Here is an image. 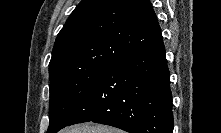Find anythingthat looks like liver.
Returning a JSON list of instances; mask_svg holds the SVG:
<instances>
[{"label": "liver", "mask_w": 221, "mask_h": 133, "mask_svg": "<svg viewBox=\"0 0 221 133\" xmlns=\"http://www.w3.org/2000/svg\"><path fill=\"white\" fill-rule=\"evenodd\" d=\"M62 133H122V131L105 125L84 123L66 128Z\"/></svg>", "instance_id": "obj_1"}]
</instances>
